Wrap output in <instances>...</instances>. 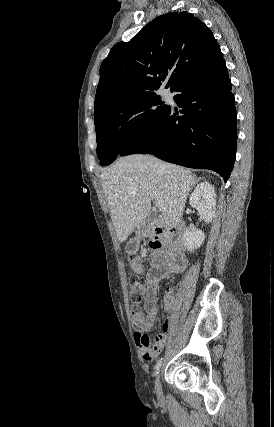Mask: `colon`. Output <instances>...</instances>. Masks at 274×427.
I'll return each mask as SVG.
<instances>
[{
  "label": "colon",
  "instance_id": "colon-1",
  "mask_svg": "<svg viewBox=\"0 0 274 427\" xmlns=\"http://www.w3.org/2000/svg\"><path fill=\"white\" fill-rule=\"evenodd\" d=\"M130 266L131 269H134L133 264L138 261V255L132 254L129 257ZM144 283V279L141 276V273L137 275L136 273L133 274V276L129 280V287L131 292V299L133 302L132 305V320L134 322V325L138 328L143 330H146L149 327V322L145 316H143L142 312L139 309V303L142 302V296L140 294V286ZM166 294L170 295L171 290L169 288L166 289ZM147 339H150L149 335L147 334ZM151 358H152V352H151Z\"/></svg>",
  "mask_w": 274,
  "mask_h": 427
}]
</instances>
